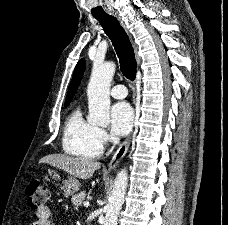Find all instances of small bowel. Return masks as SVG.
Segmentation results:
<instances>
[{"label": "small bowel", "instance_id": "small-bowel-1", "mask_svg": "<svg viewBox=\"0 0 228 225\" xmlns=\"http://www.w3.org/2000/svg\"><path fill=\"white\" fill-rule=\"evenodd\" d=\"M50 214V209L47 206L38 209L36 211L37 220L32 225H52V222L50 220Z\"/></svg>", "mask_w": 228, "mask_h": 225}]
</instances>
